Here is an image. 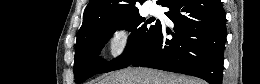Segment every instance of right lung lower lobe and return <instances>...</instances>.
<instances>
[{"mask_svg": "<svg viewBox=\"0 0 260 84\" xmlns=\"http://www.w3.org/2000/svg\"><path fill=\"white\" fill-rule=\"evenodd\" d=\"M166 15L175 34L160 26L147 51L131 65L183 73L222 84L226 16L220 0H171Z\"/></svg>", "mask_w": 260, "mask_h": 84, "instance_id": "98d812e1", "label": "right lung lower lobe"}]
</instances>
